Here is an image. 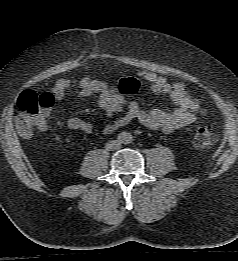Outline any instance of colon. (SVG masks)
Wrapping results in <instances>:
<instances>
[{"mask_svg": "<svg viewBox=\"0 0 238 261\" xmlns=\"http://www.w3.org/2000/svg\"><path fill=\"white\" fill-rule=\"evenodd\" d=\"M115 87L121 93H135L140 88L136 78H121L115 83ZM195 99L199 102L201 96ZM54 98L47 92L37 94L33 91H25L17 102L16 128L23 137H30L34 130L40 129L45 121L47 111L54 105ZM205 112V110H203ZM216 141V135L209 126L198 127L193 135V143L198 148H207Z\"/></svg>", "mask_w": 238, "mask_h": 261, "instance_id": "colon-1", "label": "colon"}]
</instances>
